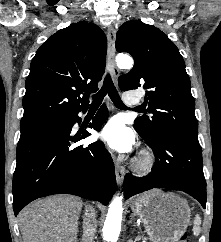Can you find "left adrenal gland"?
<instances>
[{
    "mask_svg": "<svg viewBox=\"0 0 221 242\" xmlns=\"http://www.w3.org/2000/svg\"><path fill=\"white\" fill-rule=\"evenodd\" d=\"M130 224H135V222H134V216L132 215V219L130 220V222H129Z\"/></svg>",
    "mask_w": 221,
    "mask_h": 242,
    "instance_id": "1",
    "label": "left adrenal gland"
}]
</instances>
